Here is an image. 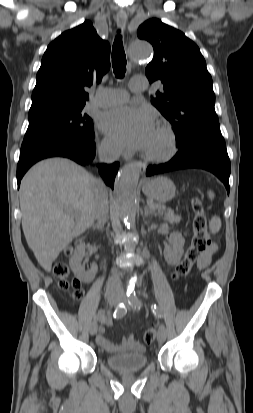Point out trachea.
<instances>
[{"label": "trachea", "instance_id": "trachea-1", "mask_svg": "<svg viewBox=\"0 0 253 413\" xmlns=\"http://www.w3.org/2000/svg\"><path fill=\"white\" fill-rule=\"evenodd\" d=\"M126 63L127 61L123 48L122 36L118 34L112 47V66L117 78L122 79L124 77L126 72Z\"/></svg>", "mask_w": 253, "mask_h": 413}]
</instances>
